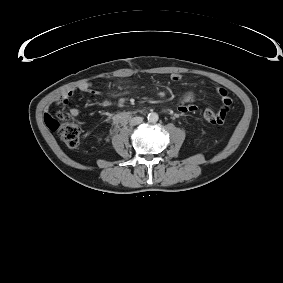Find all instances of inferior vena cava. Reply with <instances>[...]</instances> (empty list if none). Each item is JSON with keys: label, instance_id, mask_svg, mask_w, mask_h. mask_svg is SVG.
<instances>
[{"label": "inferior vena cava", "instance_id": "1", "mask_svg": "<svg viewBox=\"0 0 283 283\" xmlns=\"http://www.w3.org/2000/svg\"><path fill=\"white\" fill-rule=\"evenodd\" d=\"M143 122V118L142 117H134L130 120V125L134 126V125H138L140 123Z\"/></svg>", "mask_w": 283, "mask_h": 283}]
</instances>
